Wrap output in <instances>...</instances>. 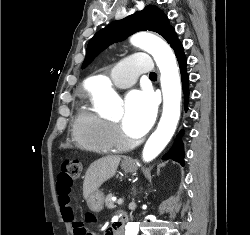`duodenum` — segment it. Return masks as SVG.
Masks as SVG:
<instances>
[{
  "label": "duodenum",
  "instance_id": "410a0bca",
  "mask_svg": "<svg viewBox=\"0 0 250 235\" xmlns=\"http://www.w3.org/2000/svg\"><path fill=\"white\" fill-rule=\"evenodd\" d=\"M126 221H127V217L124 214H121L117 222L113 223L109 234L110 235H123L124 225Z\"/></svg>",
  "mask_w": 250,
  "mask_h": 235
}]
</instances>
